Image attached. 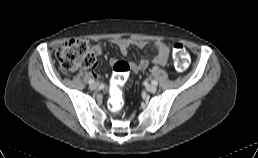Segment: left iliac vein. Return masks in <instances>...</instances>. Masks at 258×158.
Listing matches in <instances>:
<instances>
[{"mask_svg": "<svg viewBox=\"0 0 258 158\" xmlns=\"http://www.w3.org/2000/svg\"><path fill=\"white\" fill-rule=\"evenodd\" d=\"M147 90H148L149 92H151V93H154V92L157 91V86L154 85V84H150V85L147 86Z\"/></svg>", "mask_w": 258, "mask_h": 158, "instance_id": "4c4485c4", "label": "left iliac vein"}]
</instances>
